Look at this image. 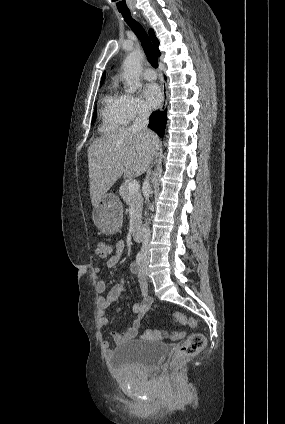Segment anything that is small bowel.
I'll use <instances>...</instances> for the list:
<instances>
[{
	"mask_svg": "<svg viewBox=\"0 0 285 424\" xmlns=\"http://www.w3.org/2000/svg\"><path fill=\"white\" fill-rule=\"evenodd\" d=\"M124 249V241H118L115 245L114 254H112L106 262L107 268H113L118 265L122 258ZM94 272L99 275L101 273V268L96 266L94 268ZM131 272L137 277L142 298L133 306V312L136 314V319L132 322L131 327L124 332L114 331L112 333L113 342L117 346L135 338L138 335L142 320L152 305V299L148 294V280L142 274L140 265L138 263H133L131 265ZM96 291L98 294L97 306L100 312V326L106 327L109 325L110 319L106 315L105 310L119 300L120 296L125 293V287L122 284H115L107 291L106 283L99 280L96 283ZM102 350L106 356L111 354L112 346L110 340L104 339L102 341Z\"/></svg>",
	"mask_w": 285,
	"mask_h": 424,
	"instance_id": "small-bowel-1",
	"label": "small bowel"
}]
</instances>
